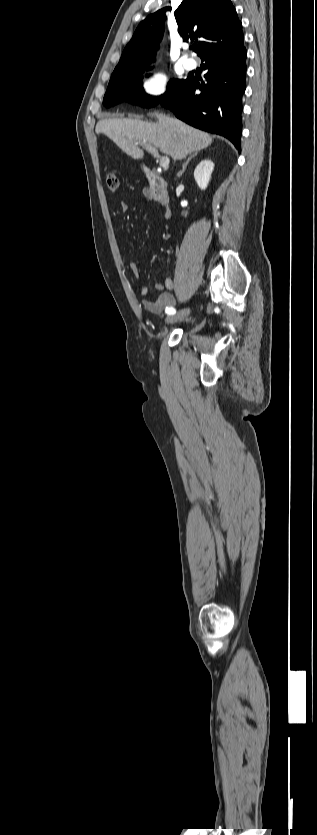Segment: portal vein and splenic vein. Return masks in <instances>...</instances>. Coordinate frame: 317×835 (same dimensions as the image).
<instances>
[{
    "mask_svg": "<svg viewBox=\"0 0 317 835\" xmlns=\"http://www.w3.org/2000/svg\"><path fill=\"white\" fill-rule=\"evenodd\" d=\"M140 145H141L143 148H145L146 150H148V151H149V153H151L154 157H156V158H160V166H161L162 168H166V167H168V165H169V163H170V159H169L167 156H166V157H160V156H159V153H158V151H157V149H156L155 147H153L152 145H149V144H147V143H145V142H143V143H142V144H140Z\"/></svg>",
    "mask_w": 317,
    "mask_h": 835,
    "instance_id": "18ae733b",
    "label": "portal vein and splenic vein"
}]
</instances>
